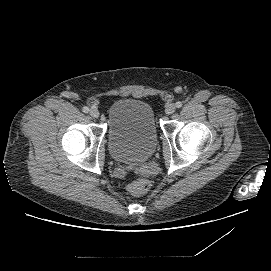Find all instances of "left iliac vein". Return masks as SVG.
<instances>
[{
	"label": "left iliac vein",
	"instance_id": "left-iliac-vein-1",
	"mask_svg": "<svg viewBox=\"0 0 271 271\" xmlns=\"http://www.w3.org/2000/svg\"><path fill=\"white\" fill-rule=\"evenodd\" d=\"M176 106L174 104H169L166 106L165 113L170 115L175 112Z\"/></svg>",
	"mask_w": 271,
	"mask_h": 271
}]
</instances>
